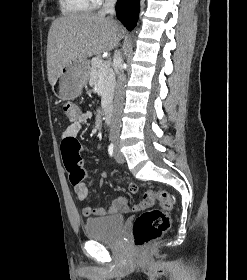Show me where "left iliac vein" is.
Instances as JSON below:
<instances>
[{
	"instance_id": "4c4485c4",
	"label": "left iliac vein",
	"mask_w": 247,
	"mask_h": 280,
	"mask_svg": "<svg viewBox=\"0 0 247 280\" xmlns=\"http://www.w3.org/2000/svg\"><path fill=\"white\" fill-rule=\"evenodd\" d=\"M115 160L118 163H123L124 162V157L121 154V152L119 151V147L118 146L116 147V150H115Z\"/></svg>"
}]
</instances>
